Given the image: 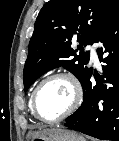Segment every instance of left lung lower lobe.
<instances>
[{
  "label": "left lung lower lobe",
  "mask_w": 119,
  "mask_h": 141,
  "mask_svg": "<svg viewBox=\"0 0 119 141\" xmlns=\"http://www.w3.org/2000/svg\"><path fill=\"white\" fill-rule=\"evenodd\" d=\"M93 43H98L103 76L91 85L92 69L82 81L83 102L69 116L65 126L89 136L119 141V8L99 30ZM95 76V75H94Z\"/></svg>",
  "instance_id": "1"
}]
</instances>
